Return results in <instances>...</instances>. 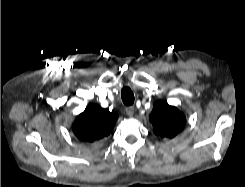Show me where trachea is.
Returning a JSON list of instances; mask_svg holds the SVG:
<instances>
[{"label":"trachea","mask_w":245,"mask_h":187,"mask_svg":"<svg viewBox=\"0 0 245 187\" xmlns=\"http://www.w3.org/2000/svg\"><path fill=\"white\" fill-rule=\"evenodd\" d=\"M121 98L126 106H130L134 103V95L130 88L124 87L121 90Z\"/></svg>","instance_id":"obj_1"}]
</instances>
